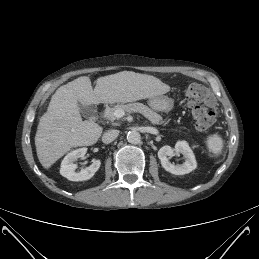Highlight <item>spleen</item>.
I'll return each mask as SVG.
<instances>
[{
    "mask_svg": "<svg viewBox=\"0 0 259 259\" xmlns=\"http://www.w3.org/2000/svg\"><path fill=\"white\" fill-rule=\"evenodd\" d=\"M206 145L210 152L218 156L222 152L224 141L219 134H213L208 136Z\"/></svg>",
    "mask_w": 259,
    "mask_h": 259,
    "instance_id": "1",
    "label": "spleen"
}]
</instances>
